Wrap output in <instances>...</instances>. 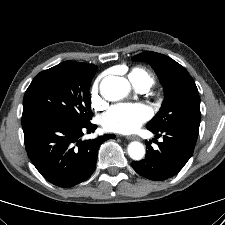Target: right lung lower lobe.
Returning <instances> with one entry per match:
<instances>
[{"label": "right lung lower lobe", "instance_id": "98d812e1", "mask_svg": "<svg viewBox=\"0 0 225 225\" xmlns=\"http://www.w3.org/2000/svg\"><path fill=\"white\" fill-rule=\"evenodd\" d=\"M22 127L31 162L47 181L62 188L87 180L96 167L99 146L115 137L107 134L81 141L84 132H94L97 126L42 112L23 114Z\"/></svg>", "mask_w": 225, "mask_h": 225}]
</instances>
